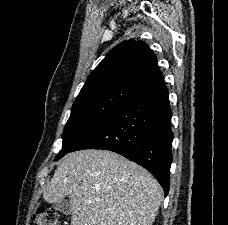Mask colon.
Listing matches in <instances>:
<instances>
[{
    "instance_id": "colon-1",
    "label": "colon",
    "mask_w": 228,
    "mask_h": 225,
    "mask_svg": "<svg viewBox=\"0 0 228 225\" xmlns=\"http://www.w3.org/2000/svg\"><path fill=\"white\" fill-rule=\"evenodd\" d=\"M35 225H59L58 215L55 210L40 206L34 213Z\"/></svg>"
}]
</instances>
